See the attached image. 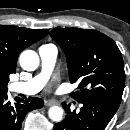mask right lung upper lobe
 <instances>
[{"mask_svg":"<svg viewBox=\"0 0 130 130\" xmlns=\"http://www.w3.org/2000/svg\"><path fill=\"white\" fill-rule=\"evenodd\" d=\"M47 34L45 29L0 25V92H7L9 75L15 73L19 54Z\"/></svg>","mask_w":130,"mask_h":130,"instance_id":"obj_1","label":"right lung upper lobe"}]
</instances>
